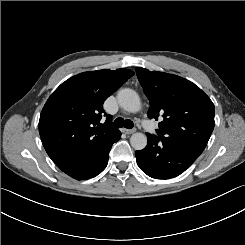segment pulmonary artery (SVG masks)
<instances>
[{
    "label": "pulmonary artery",
    "mask_w": 245,
    "mask_h": 245,
    "mask_svg": "<svg viewBox=\"0 0 245 245\" xmlns=\"http://www.w3.org/2000/svg\"><path fill=\"white\" fill-rule=\"evenodd\" d=\"M139 127L144 131L147 137H150L152 141L159 142L163 138V133L161 130L157 129L154 125L153 120L150 117H142L139 120Z\"/></svg>",
    "instance_id": "pulmonary-artery-1"
}]
</instances>
